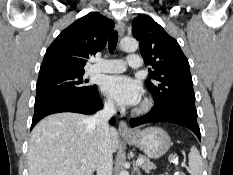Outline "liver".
Masks as SVG:
<instances>
[{
    "label": "liver",
    "instance_id": "liver-1",
    "mask_svg": "<svg viewBox=\"0 0 233 175\" xmlns=\"http://www.w3.org/2000/svg\"><path fill=\"white\" fill-rule=\"evenodd\" d=\"M109 137L112 152H116L115 128H109ZM27 156L29 175H92L99 156L96 127L83 114L47 116L33 128Z\"/></svg>",
    "mask_w": 233,
    "mask_h": 175
}]
</instances>
